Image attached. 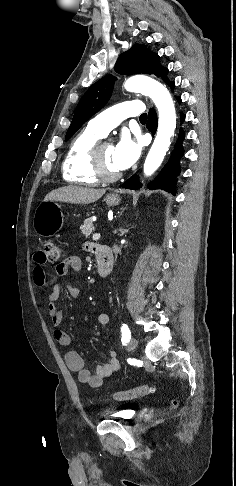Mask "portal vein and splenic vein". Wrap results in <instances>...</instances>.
<instances>
[{
	"mask_svg": "<svg viewBox=\"0 0 236 486\" xmlns=\"http://www.w3.org/2000/svg\"><path fill=\"white\" fill-rule=\"evenodd\" d=\"M92 239H93V240H98V239H100V233H95V234H93Z\"/></svg>",
	"mask_w": 236,
	"mask_h": 486,
	"instance_id": "obj_1",
	"label": "portal vein and splenic vein"
}]
</instances>
